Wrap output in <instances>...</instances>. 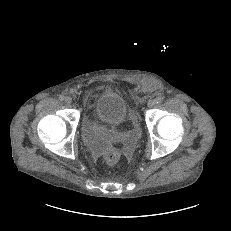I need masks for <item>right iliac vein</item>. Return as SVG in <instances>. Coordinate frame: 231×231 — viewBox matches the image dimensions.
Segmentation results:
<instances>
[{
  "label": "right iliac vein",
  "mask_w": 231,
  "mask_h": 231,
  "mask_svg": "<svg viewBox=\"0 0 231 231\" xmlns=\"http://www.w3.org/2000/svg\"><path fill=\"white\" fill-rule=\"evenodd\" d=\"M65 102H66L67 104H71V103H72V98H71L70 96H66V97H65Z\"/></svg>",
  "instance_id": "1"
}]
</instances>
